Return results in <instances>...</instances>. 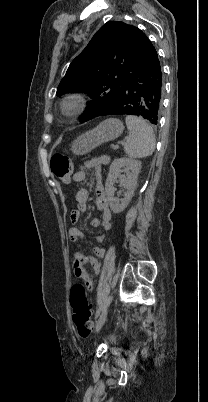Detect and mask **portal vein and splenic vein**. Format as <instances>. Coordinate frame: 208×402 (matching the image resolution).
<instances>
[{
	"mask_svg": "<svg viewBox=\"0 0 208 402\" xmlns=\"http://www.w3.org/2000/svg\"><path fill=\"white\" fill-rule=\"evenodd\" d=\"M118 144H122V142H118ZM112 148H113V149H117V148H118V145H117V144H113V145H112Z\"/></svg>",
	"mask_w": 208,
	"mask_h": 402,
	"instance_id": "18ae733b",
	"label": "portal vein and splenic vein"
}]
</instances>
